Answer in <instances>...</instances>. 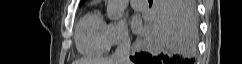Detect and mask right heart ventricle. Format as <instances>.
Instances as JSON below:
<instances>
[{"instance_id": "right-heart-ventricle-1", "label": "right heart ventricle", "mask_w": 242, "mask_h": 64, "mask_svg": "<svg viewBox=\"0 0 242 64\" xmlns=\"http://www.w3.org/2000/svg\"><path fill=\"white\" fill-rule=\"evenodd\" d=\"M107 26L99 10L94 9L86 13L77 24L75 31L78 52L87 57H97L108 52L110 44Z\"/></svg>"}]
</instances>
